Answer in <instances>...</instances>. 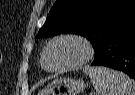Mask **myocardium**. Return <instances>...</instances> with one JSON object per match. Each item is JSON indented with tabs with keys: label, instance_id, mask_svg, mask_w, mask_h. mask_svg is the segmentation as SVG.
Instances as JSON below:
<instances>
[{
	"label": "myocardium",
	"instance_id": "obj_1",
	"mask_svg": "<svg viewBox=\"0 0 135 95\" xmlns=\"http://www.w3.org/2000/svg\"><path fill=\"white\" fill-rule=\"evenodd\" d=\"M64 40H71L79 43L84 50V54L82 58L77 62H75L74 64L62 68H50L47 65V57L49 51L55 43ZM93 54H94V48L91 42L86 37L79 34H63L52 39L46 46L43 52V67L50 72H65V71L73 70L87 63L92 58Z\"/></svg>",
	"mask_w": 135,
	"mask_h": 95
}]
</instances>
